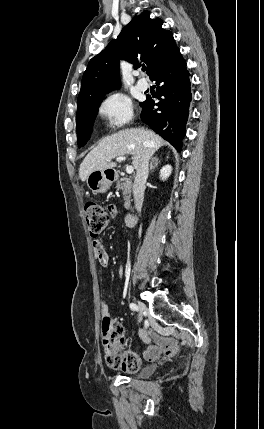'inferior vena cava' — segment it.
Instances as JSON below:
<instances>
[{"label":"inferior vena cava","instance_id":"1","mask_svg":"<svg viewBox=\"0 0 264 429\" xmlns=\"http://www.w3.org/2000/svg\"><path fill=\"white\" fill-rule=\"evenodd\" d=\"M151 158L150 150H145L140 158L139 164L136 167V176L133 184V196L135 208L139 212L144 199L145 183L149 174V160Z\"/></svg>","mask_w":264,"mask_h":429}]
</instances>
